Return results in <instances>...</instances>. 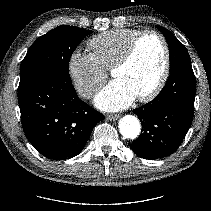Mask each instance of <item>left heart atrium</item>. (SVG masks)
<instances>
[{"instance_id": "39dd6f15", "label": "left heart atrium", "mask_w": 211, "mask_h": 211, "mask_svg": "<svg viewBox=\"0 0 211 211\" xmlns=\"http://www.w3.org/2000/svg\"><path fill=\"white\" fill-rule=\"evenodd\" d=\"M135 92L119 79H114L96 96L95 105L103 111H119L136 99Z\"/></svg>"}]
</instances>
